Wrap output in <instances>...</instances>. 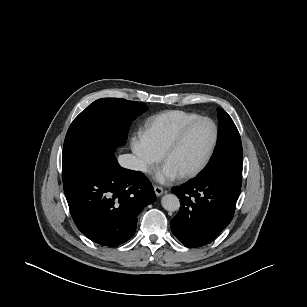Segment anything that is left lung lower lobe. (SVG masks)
<instances>
[{"mask_svg":"<svg viewBox=\"0 0 307 307\" xmlns=\"http://www.w3.org/2000/svg\"><path fill=\"white\" fill-rule=\"evenodd\" d=\"M241 186L221 176H201L174 187L181 208L171 220V230L187 247L213 241L231 222Z\"/></svg>","mask_w":307,"mask_h":307,"instance_id":"0a47b994","label":"left lung lower lobe"}]
</instances>
